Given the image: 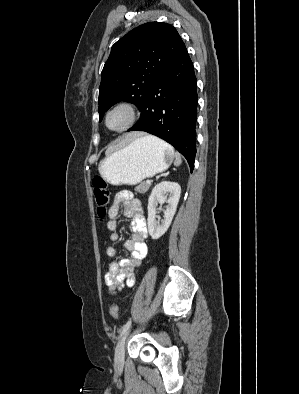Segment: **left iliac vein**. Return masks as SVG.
Wrapping results in <instances>:
<instances>
[{
	"label": "left iliac vein",
	"instance_id": "left-iliac-vein-1",
	"mask_svg": "<svg viewBox=\"0 0 299 394\" xmlns=\"http://www.w3.org/2000/svg\"><path fill=\"white\" fill-rule=\"evenodd\" d=\"M129 334V330L127 329L125 333L122 335L120 341L118 342L115 354V364L117 366H122L124 363V355H125V343L127 336Z\"/></svg>",
	"mask_w": 299,
	"mask_h": 394
}]
</instances>
